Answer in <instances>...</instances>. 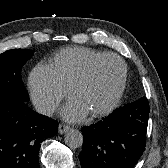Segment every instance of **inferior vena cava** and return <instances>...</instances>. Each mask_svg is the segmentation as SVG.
Here are the masks:
<instances>
[{"instance_id":"inferior-vena-cava-1","label":"inferior vena cava","mask_w":168,"mask_h":168,"mask_svg":"<svg viewBox=\"0 0 168 168\" xmlns=\"http://www.w3.org/2000/svg\"><path fill=\"white\" fill-rule=\"evenodd\" d=\"M35 109L39 114L50 116L56 109L55 104L52 103H37Z\"/></svg>"}]
</instances>
